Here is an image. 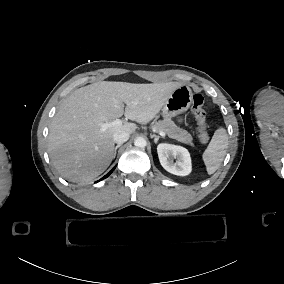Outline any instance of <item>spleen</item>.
<instances>
[{
  "label": "spleen",
  "instance_id": "spleen-1",
  "mask_svg": "<svg viewBox=\"0 0 284 284\" xmlns=\"http://www.w3.org/2000/svg\"><path fill=\"white\" fill-rule=\"evenodd\" d=\"M228 148V135L224 128L215 131L207 149L203 153V160L208 174H213L220 167Z\"/></svg>",
  "mask_w": 284,
  "mask_h": 284
}]
</instances>
